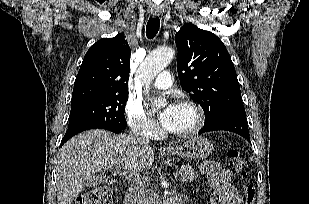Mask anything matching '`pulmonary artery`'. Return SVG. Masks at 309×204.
Masks as SVG:
<instances>
[{
  "instance_id": "1",
  "label": "pulmonary artery",
  "mask_w": 309,
  "mask_h": 204,
  "mask_svg": "<svg viewBox=\"0 0 309 204\" xmlns=\"http://www.w3.org/2000/svg\"><path fill=\"white\" fill-rule=\"evenodd\" d=\"M152 86L157 89H168L172 86V77L169 71H163L152 82Z\"/></svg>"
}]
</instances>
